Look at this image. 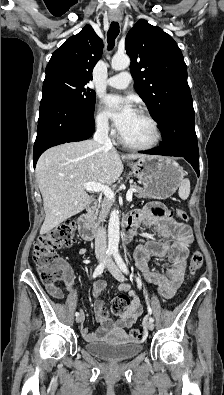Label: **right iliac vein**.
<instances>
[{"instance_id": "right-iliac-vein-1", "label": "right iliac vein", "mask_w": 224, "mask_h": 395, "mask_svg": "<svg viewBox=\"0 0 224 395\" xmlns=\"http://www.w3.org/2000/svg\"><path fill=\"white\" fill-rule=\"evenodd\" d=\"M97 259H98V261H101V260L103 259V256H102V255H98V256H97ZM83 321H84V314L81 313V314L76 318V322H77V323H81V322H83Z\"/></svg>"}]
</instances>
